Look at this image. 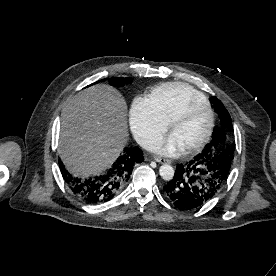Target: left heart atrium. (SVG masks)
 <instances>
[{
    "label": "left heart atrium",
    "instance_id": "left-heart-atrium-1",
    "mask_svg": "<svg viewBox=\"0 0 276 276\" xmlns=\"http://www.w3.org/2000/svg\"><path fill=\"white\" fill-rule=\"evenodd\" d=\"M154 150L162 155L178 156L185 150V146L177 135L172 132L166 139L157 144Z\"/></svg>",
    "mask_w": 276,
    "mask_h": 276
}]
</instances>
